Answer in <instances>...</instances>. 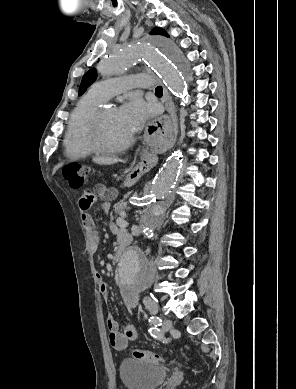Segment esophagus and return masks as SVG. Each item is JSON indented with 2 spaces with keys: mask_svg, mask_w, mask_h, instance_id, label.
<instances>
[{
  "mask_svg": "<svg viewBox=\"0 0 296 389\" xmlns=\"http://www.w3.org/2000/svg\"><path fill=\"white\" fill-rule=\"evenodd\" d=\"M164 100L165 108L167 112H164V117L160 121L151 120L148 126H143L141 134L143 139H161L163 137V131H170L171 126L175 122L176 108L172 100L171 95L164 88ZM176 127V124H174ZM159 155L157 152H149L147 149L141 152V158L135 168L138 169H155L158 164Z\"/></svg>",
  "mask_w": 296,
  "mask_h": 389,
  "instance_id": "obj_1",
  "label": "esophagus"
}]
</instances>
